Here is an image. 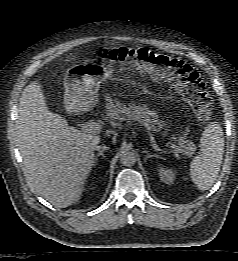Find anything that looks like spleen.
<instances>
[{
    "mask_svg": "<svg viewBox=\"0 0 238 261\" xmlns=\"http://www.w3.org/2000/svg\"><path fill=\"white\" fill-rule=\"evenodd\" d=\"M224 153V133L216 121L210 122L200 139V152L190 164V177L200 191L211 188L220 171Z\"/></svg>",
    "mask_w": 238,
    "mask_h": 261,
    "instance_id": "1",
    "label": "spleen"
}]
</instances>
